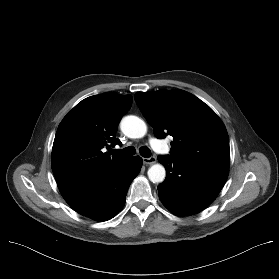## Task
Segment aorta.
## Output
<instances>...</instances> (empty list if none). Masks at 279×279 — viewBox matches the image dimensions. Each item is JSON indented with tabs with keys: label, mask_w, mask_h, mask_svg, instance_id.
Here are the masks:
<instances>
[{
	"label": "aorta",
	"mask_w": 279,
	"mask_h": 279,
	"mask_svg": "<svg viewBox=\"0 0 279 279\" xmlns=\"http://www.w3.org/2000/svg\"><path fill=\"white\" fill-rule=\"evenodd\" d=\"M120 128L129 138H142L147 132L146 123L134 115L124 117L120 123ZM165 176L166 171L161 164H154L148 169V178L153 183L163 182Z\"/></svg>",
	"instance_id": "762f6f07"
}]
</instances>
